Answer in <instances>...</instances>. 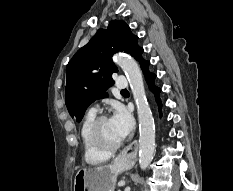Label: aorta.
<instances>
[{
	"label": "aorta",
	"mask_w": 233,
	"mask_h": 191,
	"mask_svg": "<svg viewBox=\"0 0 233 191\" xmlns=\"http://www.w3.org/2000/svg\"><path fill=\"white\" fill-rule=\"evenodd\" d=\"M113 61L119 65L129 82L139 120V164L145 170L155 155L154 118L147 102L141 69L129 55L117 54Z\"/></svg>",
	"instance_id": "aorta-1"
}]
</instances>
